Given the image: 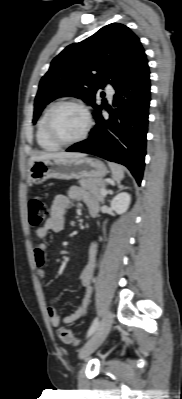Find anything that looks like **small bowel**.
I'll return each mask as SVG.
<instances>
[{
    "mask_svg": "<svg viewBox=\"0 0 182 399\" xmlns=\"http://www.w3.org/2000/svg\"><path fill=\"white\" fill-rule=\"evenodd\" d=\"M72 200L83 202L90 210L98 211L99 201L91 193L80 187H71L66 194L56 195L51 203L50 215L45 221L44 226L36 229L35 236L40 240H45L49 232H61L65 228V213ZM97 244L94 242L90 246L89 260L85 268L79 275V282L85 290L83 300L78 303L77 309L70 315L61 318V315L55 307L47 308V315L50 324L58 327L63 322L65 324L72 323L82 318L87 311L89 299L92 293V277L96 266ZM34 259L38 267L39 277L45 279L47 272L45 269L47 263V245L44 242L38 243L34 248Z\"/></svg>",
    "mask_w": 182,
    "mask_h": 399,
    "instance_id": "1",
    "label": "small bowel"
}]
</instances>
